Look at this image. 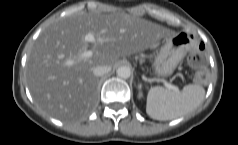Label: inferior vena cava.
Instances as JSON below:
<instances>
[{
  "mask_svg": "<svg viewBox=\"0 0 238 145\" xmlns=\"http://www.w3.org/2000/svg\"><path fill=\"white\" fill-rule=\"evenodd\" d=\"M110 71H111V67L107 65L97 66L93 69V73L97 77L103 76Z\"/></svg>",
  "mask_w": 238,
  "mask_h": 145,
  "instance_id": "inferior-vena-cava-1",
  "label": "inferior vena cava"
}]
</instances>
